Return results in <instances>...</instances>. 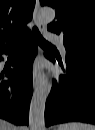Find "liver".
Wrapping results in <instances>:
<instances>
[{"mask_svg":"<svg viewBox=\"0 0 95 130\" xmlns=\"http://www.w3.org/2000/svg\"><path fill=\"white\" fill-rule=\"evenodd\" d=\"M0 130H17V129L13 124H11L5 120H1Z\"/></svg>","mask_w":95,"mask_h":130,"instance_id":"liver-1","label":"liver"}]
</instances>
